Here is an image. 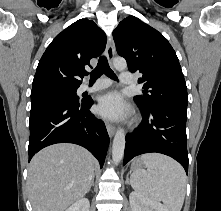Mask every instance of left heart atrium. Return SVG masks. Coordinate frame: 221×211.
Here are the masks:
<instances>
[{
	"label": "left heart atrium",
	"instance_id": "obj_1",
	"mask_svg": "<svg viewBox=\"0 0 221 211\" xmlns=\"http://www.w3.org/2000/svg\"><path fill=\"white\" fill-rule=\"evenodd\" d=\"M97 112L108 119H119L127 112L124 98L118 92H110L99 99Z\"/></svg>",
	"mask_w": 221,
	"mask_h": 211
}]
</instances>
